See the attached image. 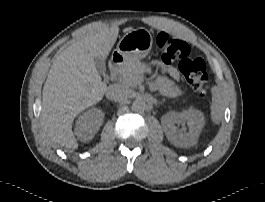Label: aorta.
<instances>
[{
    "mask_svg": "<svg viewBox=\"0 0 265 202\" xmlns=\"http://www.w3.org/2000/svg\"><path fill=\"white\" fill-rule=\"evenodd\" d=\"M131 108L134 112L140 113L146 109V104L143 100L136 99L133 101Z\"/></svg>",
    "mask_w": 265,
    "mask_h": 202,
    "instance_id": "aorta-1",
    "label": "aorta"
}]
</instances>
